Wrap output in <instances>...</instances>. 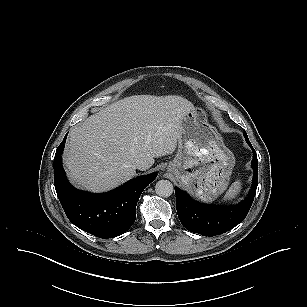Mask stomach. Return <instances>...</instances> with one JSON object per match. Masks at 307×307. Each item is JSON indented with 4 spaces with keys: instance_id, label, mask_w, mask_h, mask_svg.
<instances>
[{
    "instance_id": "0dacf381",
    "label": "stomach",
    "mask_w": 307,
    "mask_h": 307,
    "mask_svg": "<svg viewBox=\"0 0 307 307\" xmlns=\"http://www.w3.org/2000/svg\"><path fill=\"white\" fill-rule=\"evenodd\" d=\"M235 166L233 153L201 108L189 110L181 120L178 151L168 165L179 184L203 201H212L228 187Z\"/></svg>"
}]
</instances>
